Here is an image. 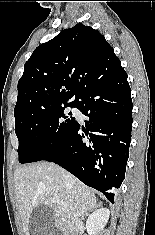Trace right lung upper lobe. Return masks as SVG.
I'll return each instance as SVG.
<instances>
[{"instance_id": "right-lung-upper-lobe-1", "label": "right lung upper lobe", "mask_w": 155, "mask_h": 235, "mask_svg": "<svg viewBox=\"0 0 155 235\" xmlns=\"http://www.w3.org/2000/svg\"><path fill=\"white\" fill-rule=\"evenodd\" d=\"M122 70L104 36L90 26L76 24L38 46L25 63L15 118L28 111L76 104L91 86ZM71 98L75 100L67 104Z\"/></svg>"}]
</instances>
